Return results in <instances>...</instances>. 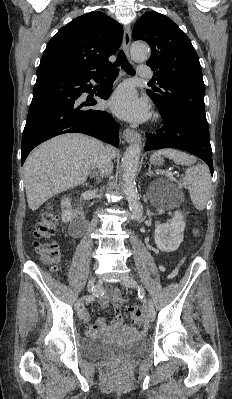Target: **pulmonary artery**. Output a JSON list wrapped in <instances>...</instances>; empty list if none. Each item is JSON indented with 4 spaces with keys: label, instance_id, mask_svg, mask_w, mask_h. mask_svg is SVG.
Segmentation results:
<instances>
[{
    "label": "pulmonary artery",
    "instance_id": "pulmonary-artery-1",
    "mask_svg": "<svg viewBox=\"0 0 232 399\" xmlns=\"http://www.w3.org/2000/svg\"><path fill=\"white\" fill-rule=\"evenodd\" d=\"M138 68L141 70L140 71V79L141 80H152L153 79L154 70L147 69L148 68L147 63H140L138 65Z\"/></svg>",
    "mask_w": 232,
    "mask_h": 399
}]
</instances>
